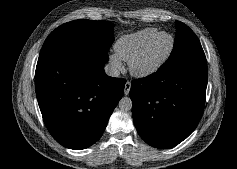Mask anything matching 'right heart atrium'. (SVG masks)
Listing matches in <instances>:
<instances>
[{
  "label": "right heart atrium",
  "mask_w": 237,
  "mask_h": 169,
  "mask_svg": "<svg viewBox=\"0 0 237 169\" xmlns=\"http://www.w3.org/2000/svg\"><path fill=\"white\" fill-rule=\"evenodd\" d=\"M109 63L111 65V67L117 71H120L123 68L122 60L116 54L109 55Z\"/></svg>",
  "instance_id": "right-heart-atrium-1"
}]
</instances>
